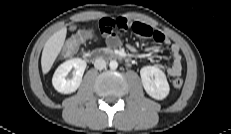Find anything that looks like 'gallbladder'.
Masks as SVG:
<instances>
[{
	"mask_svg": "<svg viewBox=\"0 0 231 134\" xmlns=\"http://www.w3.org/2000/svg\"><path fill=\"white\" fill-rule=\"evenodd\" d=\"M75 28H76V26H72V27H71V30H74Z\"/></svg>",
	"mask_w": 231,
	"mask_h": 134,
	"instance_id": "obj_1",
	"label": "gallbladder"
}]
</instances>
